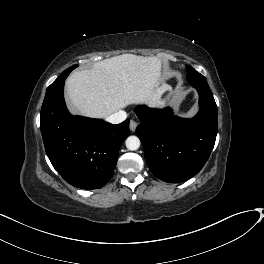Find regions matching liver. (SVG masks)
Returning <instances> with one entry per match:
<instances>
[{"mask_svg":"<svg viewBox=\"0 0 264 264\" xmlns=\"http://www.w3.org/2000/svg\"><path fill=\"white\" fill-rule=\"evenodd\" d=\"M65 86L74 113L100 119L132 104L158 107L169 89L161 81L158 58L133 54L111 57L91 69L74 71Z\"/></svg>","mask_w":264,"mask_h":264,"instance_id":"obj_1","label":"liver"}]
</instances>
